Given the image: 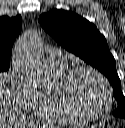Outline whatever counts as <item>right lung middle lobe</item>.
Here are the masks:
<instances>
[{"label": "right lung middle lobe", "mask_w": 125, "mask_h": 128, "mask_svg": "<svg viewBox=\"0 0 125 128\" xmlns=\"http://www.w3.org/2000/svg\"><path fill=\"white\" fill-rule=\"evenodd\" d=\"M10 67V62H0V72L8 70Z\"/></svg>", "instance_id": "obj_1"}]
</instances>
